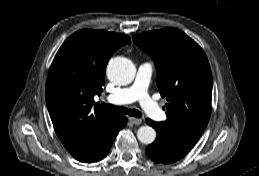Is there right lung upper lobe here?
<instances>
[{
    "instance_id": "obj_1",
    "label": "right lung upper lobe",
    "mask_w": 259,
    "mask_h": 176,
    "mask_svg": "<svg viewBox=\"0 0 259 176\" xmlns=\"http://www.w3.org/2000/svg\"><path fill=\"white\" fill-rule=\"evenodd\" d=\"M127 35L83 29L57 52L46 81L47 108L64 147L73 155L90 148L116 123L117 115L95 106L110 56L130 44Z\"/></svg>"
}]
</instances>
